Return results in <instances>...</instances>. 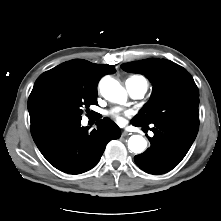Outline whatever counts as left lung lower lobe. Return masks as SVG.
Wrapping results in <instances>:
<instances>
[{
    "instance_id": "left-lung-lower-lobe-1",
    "label": "left lung lower lobe",
    "mask_w": 221,
    "mask_h": 221,
    "mask_svg": "<svg viewBox=\"0 0 221 221\" xmlns=\"http://www.w3.org/2000/svg\"><path fill=\"white\" fill-rule=\"evenodd\" d=\"M135 126H145L133 120ZM199 129L198 123L160 121L153 123L149 138L151 146L134 160L140 169L149 174H163L176 167L190 149Z\"/></svg>"
}]
</instances>
